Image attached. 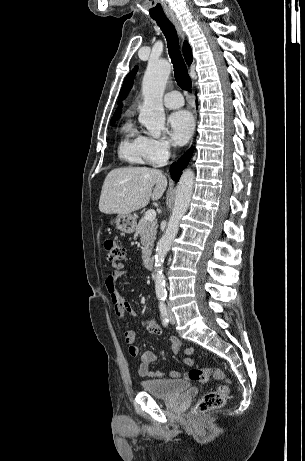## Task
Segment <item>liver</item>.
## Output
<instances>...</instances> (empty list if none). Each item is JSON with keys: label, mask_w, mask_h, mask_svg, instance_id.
Returning <instances> with one entry per match:
<instances>
[{"label": "liver", "mask_w": 305, "mask_h": 461, "mask_svg": "<svg viewBox=\"0 0 305 461\" xmlns=\"http://www.w3.org/2000/svg\"><path fill=\"white\" fill-rule=\"evenodd\" d=\"M167 187V178L158 169L147 167L117 168L106 176L99 200L105 214H130L158 200Z\"/></svg>", "instance_id": "liver-1"}]
</instances>
